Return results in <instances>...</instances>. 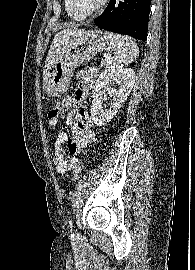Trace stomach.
<instances>
[{"mask_svg":"<svg viewBox=\"0 0 195 270\" xmlns=\"http://www.w3.org/2000/svg\"><path fill=\"white\" fill-rule=\"evenodd\" d=\"M108 39L101 30H79L58 42L55 56L44 68L43 88L48 96L57 97L68 89L74 68L104 51Z\"/></svg>","mask_w":195,"mask_h":270,"instance_id":"stomach-1","label":"stomach"}]
</instances>
